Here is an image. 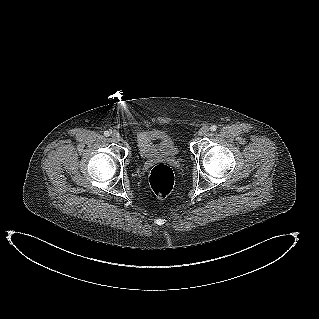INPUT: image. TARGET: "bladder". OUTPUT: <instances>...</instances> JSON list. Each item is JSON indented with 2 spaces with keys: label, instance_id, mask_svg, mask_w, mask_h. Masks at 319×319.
Wrapping results in <instances>:
<instances>
[{
  "label": "bladder",
  "instance_id": "obj_1",
  "mask_svg": "<svg viewBox=\"0 0 319 319\" xmlns=\"http://www.w3.org/2000/svg\"><path fill=\"white\" fill-rule=\"evenodd\" d=\"M136 147L142 159L176 158L179 149L173 138L157 130L140 132L136 136Z\"/></svg>",
  "mask_w": 319,
  "mask_h": 319
}]
</instances>
